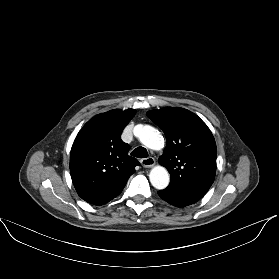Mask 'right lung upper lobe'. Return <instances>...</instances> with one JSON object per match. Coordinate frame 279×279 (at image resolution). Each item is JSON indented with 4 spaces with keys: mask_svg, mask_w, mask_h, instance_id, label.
Instances as JSON below:
<instances>
[{
    "mask_svg": "<svg viewBox=\"0 0 279 279\" xmlns=\"http://www.w3.org/2000/svg\"><path fill=\"white\" fill-rule=\"evenodd\" d=\"M134 109H114L90 119L77 134L70 154V172L78 195L103 205L118 196L139 165L128 155L130 146L121 133Z\"/></svg>",
    "mask_w": 279,
    "mask_h": 279,
    "instance_id": "right-lung-upper-lobe-1",
    "label": "right lung upper lobe"
}]
</instances>
